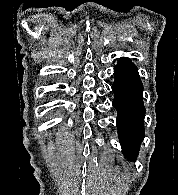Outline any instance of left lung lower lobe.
<instances>
[{
  "label": "left lung lower lobe",
  "mask_w": 178,
  "mask_h": 195,
  "mask_svg": "<svg viewBox=\"0 0 178 195\" xmlns=\"http://www.w3.org/2000/svg\"><path fill=\"white\" fill-rule=\"evenodd\" d=\"M115 81L112 102L117 110L119 141L126 157L134 159L144 136L143 85L138 70L127 58H121L114 68Z\"/></svg>",
  "instance_id": "1"
}]
</instances>
